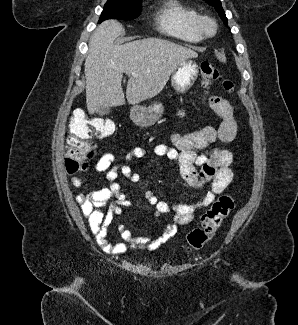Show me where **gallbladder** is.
<instances>
[{
    "mask_svg": "<svg viewBox=\"0 0 298 325\" xmlns=\"http://www.w3.org/2000/svg\"><path fill=\"white\" fill-rule=\"evenodd\" d=\"M110 112V106H101V108H98L97 114L99 116H103V114H109Z\"/></svg>",
    "mask_w": 298,
    "mask_h": 325,
    "instance_id": "gallbladder-1",
    "label": "gallbladder"
}]
</instances>
